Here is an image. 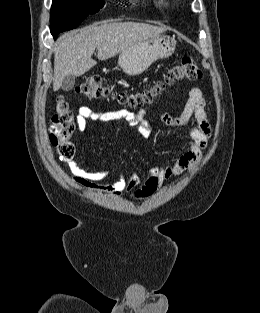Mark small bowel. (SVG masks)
<instances>
[{
    "instance_id": "1",
    "label": "small bowel",
    "mask_w": 260,
    "mask_h": 313,
    "mask_svg": "<svg viewBox=\"0 0 260 313\" xmlns=\"http://www.w3.org/2000/svg\"><path fill=\"white\" fill-rule=\"evenodd\" d=\"M146 110L132 112L126 109L95 111L88 106L79 108L76 123L78 130H86L90 119L99 122L123 120L133 127L140 136L148 137L151 134L150 124L145 119ZM160 120L171 128H185L188 137L183 140L182 153L169 165L149 170L144 183L140 186V176L134 172L126 178L122 174L112 183L101 185L99 182L107 178L105 170H86L77 160L69 163V170L78 186L85 187L97 193H104L114 197H121L132 193L136 199H144L154 194L166 181L183 174L198 164L203 151L208 145L211 136V127L206 113V102L202 91L198 87L191 89L187 103L178 115L161 113Z\"/></svg>"
}]
</instances>
